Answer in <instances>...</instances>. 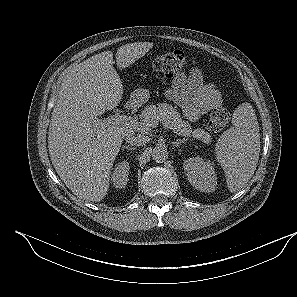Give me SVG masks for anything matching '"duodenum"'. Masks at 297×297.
<instances>
[{
	"label": "duodenum",
	"instance_id": "410a0bca",
	"mask_svg": "<svg viewBox=\"0 0 297 297\" xmlns=\"http://www.w3.org/2000/svg\"><path fill=\"white\" fill-rule=\"evenodd\" d=\"M132 106H133V104L131 102L127 103V104H125V109L129 110Z\"/></svg>",
	"mask_w": 297,
	"mask_h": 297
}]
</instances>
